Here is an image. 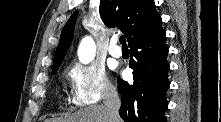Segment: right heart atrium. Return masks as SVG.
I'll use <instances>...</instances> for the list:
<instances>
[{
	"label": "right heart atrium",
	"instance_id": "1",
	"mask_svg": "<svg viewBox=\"0 0 221 122\" xmlns=\"http://www.w3.org/2000/svg\"><path fill=\"white\" fill-rule=\"evenodd\" d=\"M69 76L72 83V102L76 106L96 104L115 94L104 68L97 64H74Z\"/></svg>",
	"mask_w": 221,
	"mask_h": 122
}]
</instances>
